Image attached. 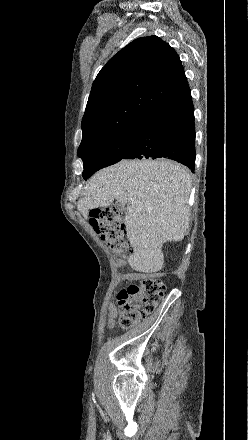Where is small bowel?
<instances>
[{
	"label": "small bowel",
	"mask_w": 248,
	"mask_h": 440,
	"mask_svg": "<svg viewBox=\"0 0 248 440\" xmlns=\"http://www.w3.org/2000/svg\"><path fill=\"white\" fill-rule=\"evenodd\" d=\"M117 316V310L114 305L109 307L108 311V326L112 328L115 325V318Z\"/></svg>",
	"instance_id": "small-bowel-1"
}]
</instances>
